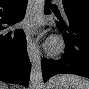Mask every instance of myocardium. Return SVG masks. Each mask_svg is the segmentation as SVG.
Instances as JSON below:
<instances>
[{"instance_id":"myocardium-1","label":"myocardium","mask_w":89,"mask_h":89,"mask_svg":"<svg viewBox=\"0 0 89 89\" xmlns=\"http://www.w3.org/2000/svg\"><path fill=\"white\" fill-rule=\"evenodd\" d=\"M45 48L49 55L58 56L65 49V41L61 36L54 35L47 41Z\"/></svg>"}]
</instances>
